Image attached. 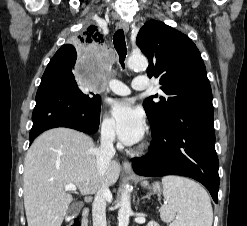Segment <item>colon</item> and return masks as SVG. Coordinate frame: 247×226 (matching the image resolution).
<instances>
[{
	"mask_svg": "<svg viewBox=\"0 0 247 226\" xmlns=\"http://www.w3.org/2000/svg\"><path fill=\"white\" fill-rule=\"evenodd\" d=\"M67 226H81V225L78 219H74L70 223H68Z\"/></svg>",
	"mask_w": 247,
	"mask_h": 226,
	"instance_id": "5ec220e1",
	"label": "colon"
}]
</instances>
